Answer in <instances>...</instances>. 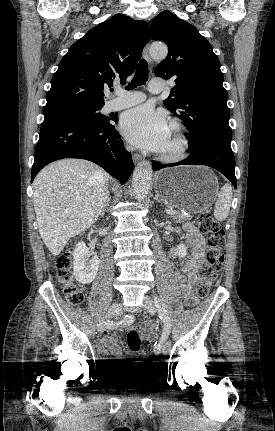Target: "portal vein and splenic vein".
Here are the masks:
<instances>
[{
	"mask_svg": "<svg viewBox=\"0 0 275 431\" xmlns=\"http://www.w3.org/2000/svg\"><path fill=\"white\" fill-rule=\"evenodd\" d=\"M166 212L171 215H175L177 212L173 209H167Z\"/></svg>",
	"mask_w": 275,
	"mask_h": 431,
	"instance_id": "obj_1",
	"label": "portal vein and splenic vein"
}]
</instances>
